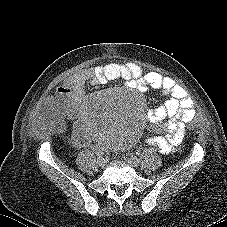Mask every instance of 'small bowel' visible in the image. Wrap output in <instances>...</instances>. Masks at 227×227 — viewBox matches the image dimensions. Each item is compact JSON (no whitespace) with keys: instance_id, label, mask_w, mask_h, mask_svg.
<instances>
[{"instance_id":"c3829d8e","label":"small bowel","mask_w":227,"mask_h":227,"mask_svg":"<svg viewBox=\"0 0 227 227\" xmlns=\"http://www.w3.org/2000/svg\"><path fill=\"white\" fill-rule=\"evenodd\" d=\"M112 80H123L140 92L148 87L162 91L166 97L165 102L150 110L147 119L155 126V131L163 132L164 135L150 136L146 142L161 153L175 152L183 140L179 134L180 129L194 118V102L187 96L185 89L172 78L154 71L144 73L136 64L100 65L74 73L57 89L53 97L47 99L46 108L52 110L60 104L75 110L86 98L87 85H98ZM75 138L79 145L83 143L79 130Z\"/></svg>"}]
</instances>
